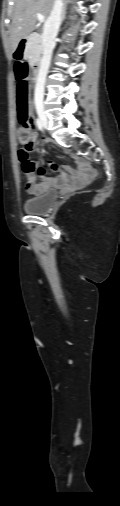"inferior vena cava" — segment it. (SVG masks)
Returning a JSON list of instances; mask_svg holds the SVG:
<instances>
[{"instance_id": "1", "label": "inferior vena cava", "mask_w": 120, "mask_h": 506, "mask_svg": "<svg viewBox=\"0 0 120 506\" xmlns=\"http://www.w3.org/2000/svg\"><path fill=\"white\" fill-rule=\"evenodd\" d=\"M63 5L64 4L62 0H54L52 11L43 27V57L41 60L38 80L34 92L35 102H43L45 80L51 62L52 52L55 45V38L62 21Z\"/></svg>"}]
</instances>
